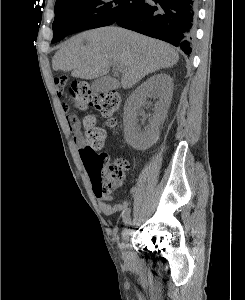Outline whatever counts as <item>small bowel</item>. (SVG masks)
<instances>
[{"instance_id": "small-bowel-1", "label": "small bowel", "mask_w": 245, "mask_h": 300, "mask_svg": "<svg viewBox=\"0 0 245 300\" xmlns=\"http://www.w3.org/2000/svg\"><path fill=\"white\" fill-rule=\"evenodd\" d=\"M65 108L66 107L64 106V109ZM67 122L69 125V129H70L71 133L73 134L74 143L78 147L81 148L85 144V141L83 138V134L81 131V124H80L79 120L73 115H68ZM137 193H138V189L136 187H132L130 189V194L132 197L136 196ZM127 206H128V201H123V202L112 204L109 199H100L99 200V208H100L101 212L104 214H107V215L113 214V213H116L119 211H125L126 209H128Z\"/></svg>"}]
</instances>
